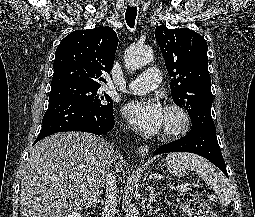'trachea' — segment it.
I'll use <instances>...</instances> for the list:
<instances>
[{"mask_svg": "<svg viewBox=\"0 0 255 217\" xmlns=\"http://www.w3.org/2000/svg\"><path fill=\"white\" fill-rule=\"evenodd\" d=\"M136 16H137V7L128 5L126 9V13H125V19H126L127 25L130 28H134Z\"/></svg>", "mask_w": 255, "mask_h": 217, "instance_id": "3493384b", "label": "trachea"}]
</instances>
